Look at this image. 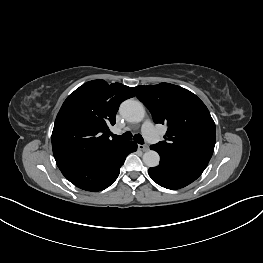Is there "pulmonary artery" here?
<instances>
[{"mask_svg":"<svg viewBox=\"0 0 263 263\" xmlns=\"http://www.w3.org/2000/svg\"><path fill=\"white\" fill-rule=\"evenodd\" d=\"M142 131L145 138L152 144H156L160 140V136L158 132L155 130L151 121L147 120L144 122L142 126Z\"/></svg>","mask_w":263,"mask_h":263,"instance_id":"pulmonary-artery-1","label":"pulmonary artery"}]
</instances>
